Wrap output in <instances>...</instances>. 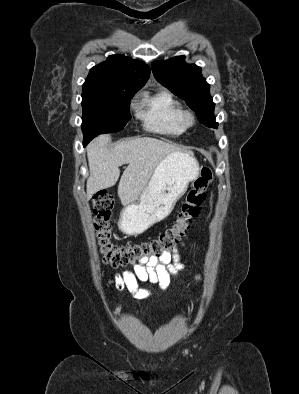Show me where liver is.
Here are the masks:
<instances>
[{
  "mask_svg": "<svg viewBox=\"0 0 299 394\" xmlns=\"http://www.w3.org/2000/svg\"><path fill=\"white\" fill-rule=\"evenodd\" d=\"M109 135L95 138L87 146L90 176L87 179V198L101 189L112 187L120 176L119 167L128 164L123 172L118 196L123 205L136 201L146 188L158 164L180 148L152 137L122 141L113 149L106 147Z\"/></svg>",
  "mask_w": 299,
  "mask_h": 394,
  "instance_id": "1",
  "label": "liver"
}]
</instances>
